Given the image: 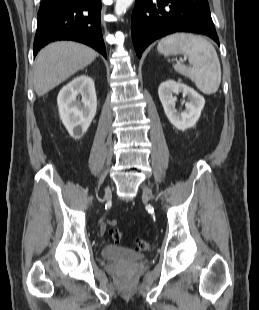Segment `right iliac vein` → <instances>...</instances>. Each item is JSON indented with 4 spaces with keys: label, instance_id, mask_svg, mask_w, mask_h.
<instances>
[{
    "label": "right iliac vein",
    "instance_id": "63e3f726",
    "mask_svg": "<svg viewBox=\"0 0 259 310\" xmlns=\"http://www.w3.org/2000/svg\"><path fill=\"white\" fill-rule=\"evenodd\" d=\"M111 196H112L111 190H110V189H107V190L105 191V199H106V200H109V199H111Z\"/></svg>",
    "mask_w": 259,
    "mask_h": 310
}]
</instances>
